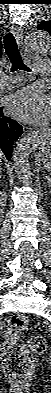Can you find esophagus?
<instances>
[{
	"mask_svg": "<svg viewBox=\"0 0 51 393\" xmlns=\"http://www.w3.org/2000/svg\"><path fill=\"white\" fill-rule=\"evenodd\" d=\"M11 31L13 32V34H14L16 40H17V43L19 44V46H22L23 45V33H22V30L20 28H18V27L12 26L11 27Z\"/></svg>",
	"mask_w": 51,
	"mask_h": 393,
	"instance_id": "obj_1",
	"label": "esophagus"
}]
</instances>
